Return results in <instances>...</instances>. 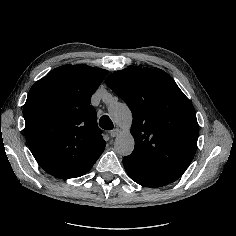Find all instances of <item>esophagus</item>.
Instances as JSON below:
<instances>
[{
    "mask_svg": "<svg viewBox=\"0 0 236 236\" xmlns=\"http://www.w3.org/2000/svg\"><path fill=\"white\" fill-rule=\"evenodd\" d=\"M119 132H120V130H119L118 128H116V129H114V130H112V131L110 132V136H111L112 138H114V137H116V136L119 134Z\"/></svg>",
    "mask_w": 236,
    "mask_h": 236,
    "instance_id": "obj_1",
    "label": "esophagus"
}]
</instances>
